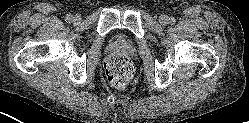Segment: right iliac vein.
<instances>
[{"mask_svg": "<svg viewBox=\"0 0 249 123\" xmlns=\"http://www.w3.org/2000/svg\"><path fill=\"white\" fill-rule=\"evenodd\" d=\"M73 21H74L75 23H79V22L81 21V16H80V15H75V16L73 17Z\"/></svg>", "mask_w": 249, "mask_h": 123, "instance_id": "1", "label": "right iliac vein"}]
</instances>
